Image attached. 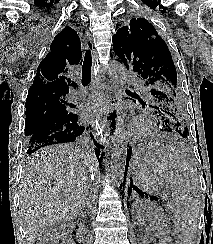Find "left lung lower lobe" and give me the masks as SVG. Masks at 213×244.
<instances>
[{"label":"left lung lower lobe","instance_id":"1","mask_svg":"<svg viewBox=\"0 0 213 244\" xmlns=\"http://www.w3.org/2000/svg\"><path fill=\"white\" fill-rule=\"evenodd\" d=\"M166 129H167L166 126H162V129H160V130L164 131ZM131 153H132V147H129V149H127V161H126V168H125V174H124V177H125L124 178V182L126 180V173H127V169H128ZM121 186H122V184H121ZM123 186H124V183H123Z\"/></svg>","mask_w":213,"mask_h":244}]
</instances>
